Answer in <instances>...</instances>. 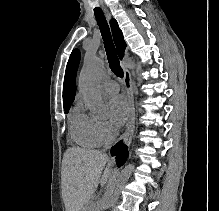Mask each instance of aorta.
Instances as JSON below:
<instances>
[{"mask_svg":"<svg viewBox=\"0 0 219 211\" xmlns=\"http://www.w3.org/2000/svg\"><path fill=\"white\" fill-rule=\"evenodd\" d=\"M104 69L103 62L97 57H87L79 75V89L91 113L96 118H106L108 115L105 101L99 91V79ZM136 75L141 83L143 71L140 63L136 64ZM134 169L133 164L125 166L122 171L108 185L102 199L99 202L98 211H105L110 208L118 199L121 190L130 178Z\"/></svg>","mask_w":219,"mask_h":211,"instance_id":"762f6f07","label":"aorta"}]
</instances>
